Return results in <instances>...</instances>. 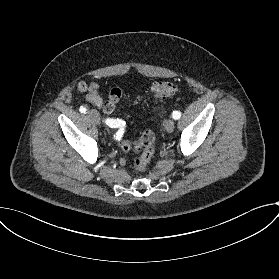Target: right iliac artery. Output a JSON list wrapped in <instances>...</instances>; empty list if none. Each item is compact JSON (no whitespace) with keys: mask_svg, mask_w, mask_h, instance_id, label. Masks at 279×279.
<instances>
[{"mask_svg":"<svg viewBox=\"0 0 279 279\" xmlns=\"http://www.w3.org/2000/svg\"><path fill=\"white\" fill-rule=\"evenodd\" d=\"M79 111L81 112V113H85L86 112V108L85 107H83V106H81L80 107V109H79ZM105 123L107 124V125H109L111 128H116V127H119V129H124V122H120L119 120H117V119H115V120H113V119H107L106 121H105Z\"/></svg>","mask_w":279,"mask_h":279,"instance_id":"82829eb1","label":"right iliac artery"}]
</instances>
